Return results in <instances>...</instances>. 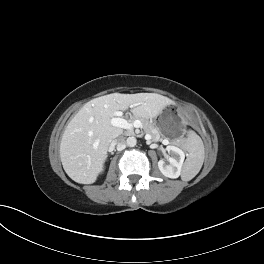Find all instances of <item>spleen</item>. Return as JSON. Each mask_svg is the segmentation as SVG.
Segmentation results:
<instances>
[{
    "instance_id": "obj_1",
    "label": "spleen",
    "mask_w": 264,
    "mask_h": 264,
    "mask_svg": "<svg viewBox=\"0 0 264 264\" xmlns=\"http://www.w3.org/2000/svg\"><path fill=\"white\" fill-rule=\"evenodd\" d=\"M185 146L189 154L183 167L182 180L189 181L199 173L204 162L205 151L201 138L194 131L188 132Z\"/></svg>"
}]
</instances>
